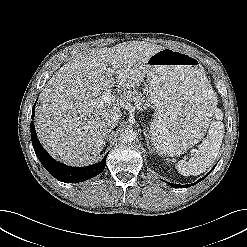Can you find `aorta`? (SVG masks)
Segmentation results:
<instances>
[{
  "mask_svg": "<svg viewBox=\"0 0 247 247\" xmlns=\"http://www.w3.org/2000/svg\"><path fill=\"white\" fill-rule=\"evenodd\" d=\"M136 136L137 134L135 131L127 129L120 134V140L122 143L129 144L135 141Z\"/></svg>",
  "mask_w": 247,
  "mask_h": 247,
  "instance_id": "obj_1",
  "label": "aorta"
}]
</instances>
